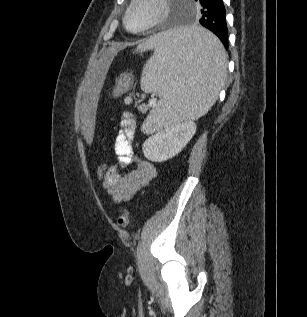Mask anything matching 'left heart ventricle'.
<instances>
[{
  "mask_svg": "<svg viewBox=\"0 0 307 317\" xmlns=\"http://www.w3.org/2000/svg\"><path fill=\"white\" fill-rule=\"evenodd\" d=\"M156 8L149 2L137 4L129 15L128 23L130 28L137 29L145 25L155 15Z\"/></svg>",
  "mask_w": 307,
  "mask_h": 317,
  "instance_id": "b2bd125f",
  "label": "left heart ventricle"
}]
</instances>
